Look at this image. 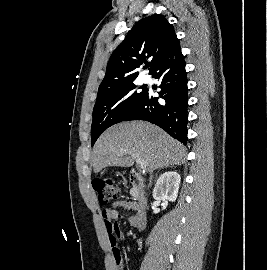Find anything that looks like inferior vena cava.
<instances>
[{
    "label": "inferior vena cava",
    "mask_w": 267,
    "mask_h": 270,
    "mask_svg": "<svg viewBox=\"0 0 267 270\" xmlns=\"http://www.w3.org/2000/svg\"><path fill=\"white\" fill-rule=\"evenodd\" d=\"M152 176L150 177V182H151Z\"/></svg>",
    "instance_id": "1"
}]
</instances>
